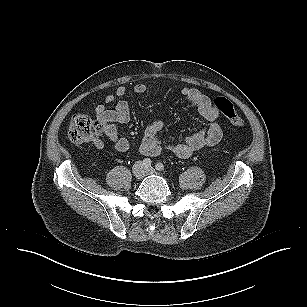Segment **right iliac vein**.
Segmentation results:
<instances>
[{"instance_id": "1", "label": "right iliac vein", "mask_w": 307, "mask_h": 307, "mask_svg": "<svg viewBox=\"0 0 307 307\" xmlns=\"http://www.w3.org/2000/svg\"><path fill=\"white\" fill-rule=\"evenodd\" d=\"M133 175L137 178V179H142L144 177L145 174V169H144V165L142 162H137L134 166H133Z\"/></svg>"}]
</instances>
